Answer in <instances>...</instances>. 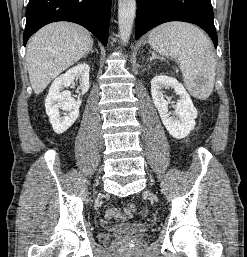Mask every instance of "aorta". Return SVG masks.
<instances>
[{
	"label": "aorta",
	"mask_w": 247,
	"mask_h": 257,
	"mask_svg": "<svg viewBox=\"0 0 247 257\" xmlns=\"http://www.w3.org/2000/svg\"><path fill=\"white\" fill-rule=\"evenodd\" d=\"M136 14V0H118L119 37L123 44L130 38Z\"/></svg>",
	"instance_id": "aorta-1"
}]
</instances>
